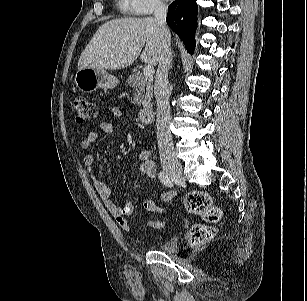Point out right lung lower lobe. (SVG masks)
<instances>
[{"mask_svg": "<svg viewBox=\"0 0 307 301\" xmlns=\"http://www.w3.org/2000/svg\"><path fill=\"white\" fill-rule=\"evenodd\" d=\"M197 13L196 0H177L169 6L166 18L167 24L178 34L190 53L194 52L196 45Z\"/></svg>", "mask_w": 307, "mask_h": 301, "instance_id": "right-lung-lower-lobe-1", "label": "right lung lower lobe"}]
</instances>
